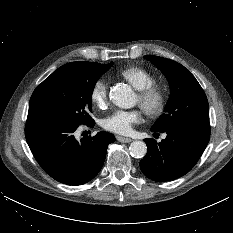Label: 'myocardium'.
<instances>
[{"instance_id":"myocardium-1","label":"myocardium","mask_w":233,"mask_h":233,"mask_svg":"<svg viewBox=\"0 0 233 233\" xmlns=\"http://www.w3.org/2000/svg\"><path fill=\"white\" fill-rule=\"evenodd\" d=\"M139 104L149 116L160 115L166 106V94L158 86H150L139 90Z\"/></svg>"}]
</instances>
